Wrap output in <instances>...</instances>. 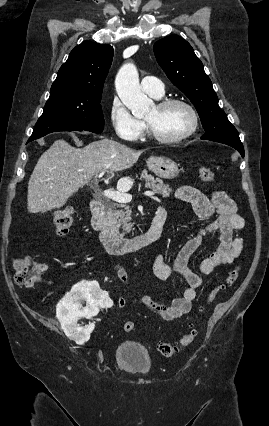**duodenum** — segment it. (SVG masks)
Returning <instances> with one entry per match:
<instances>
[{
    "instance_id": "1",
    "label": "duodenum",
    "mask_w": 269,
    "mask_h": 426,
    "mask_svg": "<svg viewBox=\"0 0 269 426\" xmlns=\"http://www.w3.org/2000/svg\"><path fill=\"white\" fill-rule=\"evenodd\" d=\"M91 213L92 227L99 234L102 245L110 255L126 254L154 243L161 236L167 219L166 209L160 206L155 212L150 228L145 233L125 238L109 229L106 222V207L101 196H96L91 201Z\"/></svg>"
}]
</instances>
